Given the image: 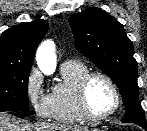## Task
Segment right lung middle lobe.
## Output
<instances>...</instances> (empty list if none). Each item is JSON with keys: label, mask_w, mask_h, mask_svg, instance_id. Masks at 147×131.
<instances>
[{"label": "right lung middle lobe", "mask_w": 147, "mask_h": 131, "mask_svg": "<svg viewBox=\"0 0 147 131\" xmlns=\"http://www.w3.org/2000/svg\"><path fill=\"white\" fill-rule=\"evenodd\" d=\"M30 71L31 68L0 67V112L29 111Z\"/></svg>", "instance_id": "dd1d6c3e"}]
</instances>
